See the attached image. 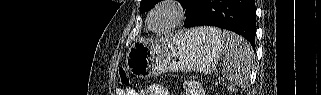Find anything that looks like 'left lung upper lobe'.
<instances>
[{
    "label": "left lung upper lobe",
    "mask_w": 321,
    "mask_h": 95,
    "mask_svg": "<svg viewBox=\"0 0 321 95\" xmlns=\"http://www.w3.org/2000/svg\"><path fill=\"white\" fill-rule=\"evenodd\" d=\"M161 0H142L140 3V9L142 12H146L152 8L156 3L160 2ZM191 0H180V4L183 8H185Z\"/></svg>",
    "instance_id": "left-lung-upper-lobe-1"
}]
</instances>
